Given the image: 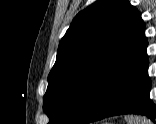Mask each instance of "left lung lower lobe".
Masks as SVG:
<instances>
[{
    "label": "left lung lower lobe",
    "mask_w": 156,
    "mask_h": 124,
    "mask_svg": "<svg viewBox=\"0 0 156 124\" xmlns=\"http://www.w3.org/2000/svg\"><path fill=\"white\" fill-rule=\"evenodd\" d=\"M148 42L143 37L114 67L91 100L78 124L121 114H142L155 121L156 105L150 100Z\"/></svg>",
    "instance_id": "1"
}]
</instances>
